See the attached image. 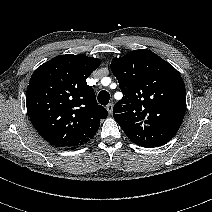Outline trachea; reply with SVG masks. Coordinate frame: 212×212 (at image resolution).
<instances>
[{"label":"trachea","mask_w":212,"mask_h":212,"mask_svg":"<svg viewBox=\"0 0 212 212\" xmlns=\"http://www.w3.org/2000/svg\"><path fill=\"white\" fill-rule=\"evenodd\" d=\"M109 99H110V95L107 91L102 90L100 91V93L98 94V102L101 105H107L109 103Z\"/></svg>","instance_id":"3493384b"}]
</instances>
